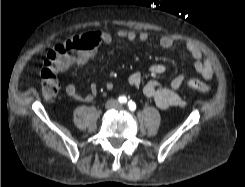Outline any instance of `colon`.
I'll list each match as a JSON object with an SVG mask.
<instances>
[{
    "label": "colon",
    "instance_id": "1",
    "mask_svg": "<svg viewBox=\"0 0 245 187\" xmlns=\"http://www.w3.org/2000/svg\"><path fill=\"white\" fill-rule=\"evenodd\" d=\"M86 48V36L74 35L58 43L51 50V57L46 58L40 72L42 93L46 98L53 99L59 92L58 64L65 61L73 51H82ZM187 86L203 93H209L212 90L209 84L196 78L188 79Z\"/></svg>",
    "mask_w": 245,
    "mask_h": 187
}]
</instances>
